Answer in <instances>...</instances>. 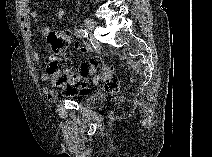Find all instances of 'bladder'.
I'll return each mask as SVG.
<instances>
[{"label": "bladder", "instance_id": "obj_1", "mask_svg": "<svg viewBox=\"0 0 212 157\" xmlns=\"http://www.w3.org/2000/svg\"><path fill=\"white\" fill-rule=\"evenodd\" d=\"M107 94L92 91L82 96L81 104L89 109H100L107 103Z\"/></svg>", "mask_w": 212, "mask_h": 157}]
</instances>
